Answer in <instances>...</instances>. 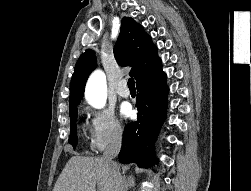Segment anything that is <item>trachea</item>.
<instances>
[{"mask_svg":"<svg viewBox=\"0 0 251 191\" xmlns=\"http://www.w3.org/2000/svg\"><path fill=\"white\" fill-rule=\"evenodd\" d=\"M127 84H128V88H129V89H135V81H134V78H129Z\"/></svg>","mask_w":251,"mask_h":191,"instance_id":"obj_1","label":"trachea"}]
</instances>
